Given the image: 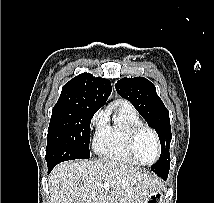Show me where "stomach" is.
Listing matches in <instances>:
<instances>
[{"instance_id": "stomach-1", "label": "stomach", "mask_w": 214, "mask_h": 203, "mask_svg": "<svg viewBox=\"0 0 214 203\" xmlns=\"http://www.w3.org/2000/svg\"><path fill=\"white\" fill-rule=\"evenodd\" d=\"M144 203H167L165 202V194L161 189H157L149 194Z\"/></svg>"}]
</instances>
